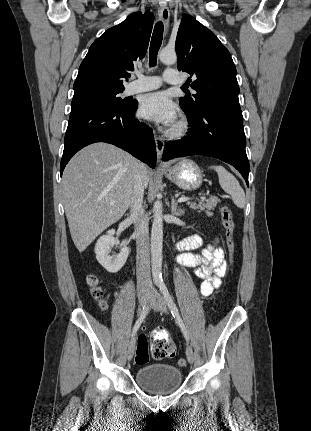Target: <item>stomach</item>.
Returning a JSON list of instances; mask_svg holds the SVG:
<instances>
[{"instance_id":"0dacf381","label":"stomach","mask_w":311,"mask_h":431,"mask_svg":"<svg viewBox=\"0 0 311 431\" xmlns=\"http://www.w3.org/2000/svg\"><path fill=\"white\" fill-rule=\"evenodd\" d=\"M165 178L173 182L181 190L192 192V190L200 188L203 182V172L193 160L183 158V160H179L178 164L165 172Z\"/></svg>"}]
</instances>
